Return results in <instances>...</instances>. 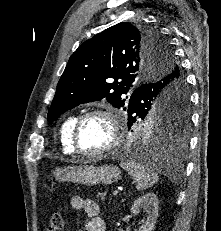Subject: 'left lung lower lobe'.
Instances as JSON below:
<instances>
[{
    "label": "left lung lower lobe",
    "mask_w": 221,
    "mask_h": 231,
    "mask_svg": "<svg viewBox=\"0 0 221 231\" xmlns=\"http://www.w3.org/2000/svg\"><path fill=\"white\" fill-rule=\"evenodd\" d=\"M177 73H172L171 76H167L157 82L144 84L138 88H136L131 95L129 101L133 103V105L137 104L140 105L139 102H142L146 96H149L150 93H158V92H172L176 87L177 84L170 83V80L173 78H176ZM180 86H183L184 88L186 86L185 80H182L179 84ZM188 93V90H187ZM174 96V97H173ZM173 97L172 102L174 104V107L176 108L184 104V100L177 98L174 94L171 96ZM170 97V98H171ZM189 97V95H188ZM135 119H129L128 120V127L130 128L135 122ZM140 145H143L144 148H138L133 150L134 155H136L139 158L143 159H152L150 154L155 150L162 151V156H159V159L157 162L162 161V163H167L168 165L170 162H173L179 157H181L186 149H187V137L185 133H179L174 135H160L158 132H153L150 135H145L139 139Z\"/></svg>",
    "instance_id": "left-lung-lower-lobe-1"
}]
</instances>
